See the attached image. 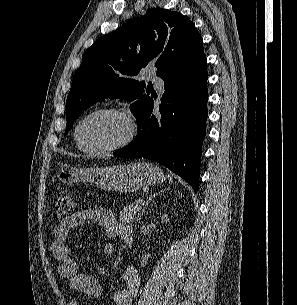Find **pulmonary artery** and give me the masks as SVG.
<instances>
[{"instance_id":"e3ab8cb5","label":"pulmonary artery","mask_w":297,"mask_h":305,"mask_svg":"<svg viewBox=\"0 0 297 305\" xmlns=\"http://www.w3.org/2000/svg\"><path fill=\"white\" fill-rule=\"evenodd\" d=\"M152 83H153L154 85L158 86V87H161L162 84H163V81H162L161 78L154 76V77L152 78Z\"/></svg>"}]
</instances>
